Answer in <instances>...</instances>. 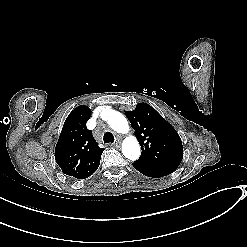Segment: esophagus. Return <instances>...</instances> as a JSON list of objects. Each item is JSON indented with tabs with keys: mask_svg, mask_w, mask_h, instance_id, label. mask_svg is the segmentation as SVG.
<instances>
[{
	"mask_svg": "<svg viewBox=\"0 0 247 247\" xmlns=\"http://www.w3.org/2000/svg\"><path fill=\"white\" fill-rule=\"evenodd\" d=\"M111 146H113V147H117V146H119V143H116V144L111 145Z\"/></svg>",
	"mask_w": 247,
	"mask_h": 247,
	"instance_id": "obj_1",
	"label": "esophagus"
}]
</instances>
